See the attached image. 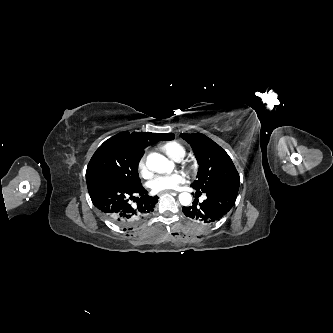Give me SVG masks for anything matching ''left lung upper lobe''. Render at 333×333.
Returning a JSON list of instances; mask_svg holds the SVG:
<instances>
[{
	"instance_id": "left-lung-upper-lobe-1",
	"label": "left lung upper lobe",
	"mask_w": 333,
	"mask_h": 333,
	"mask_svg": "<svg viewBox=\"0 0 333 333\" xmlns=\"http://www.w3.org/2000/svg\"><path fill=\"white\" fill-rule=\"evenodd\" d=\"M192 147L199 164L197 180L191 186L202 192L237 190L239 174L223 148L201 133L180 134ZM228 200H218L220 204Z\"/></svg>"
}]
</instances>
